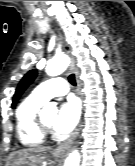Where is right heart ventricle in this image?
<instances>
[{
  "instance_id": "e07e8e85",
  "label": "right heart ventricle",
  "mask_w": 135,
  "mask_h": 166,
  "mask_svg": "<svg viewBox=\"0 0 135 166\" xmlns=\"http://www.w3.org/2000/svg\"><path fill=\"white\" fill-rule=\"evenodd\" d=\"M44 103L45 101L30 94L17 106L16 134L20 144L24 147H39L45 141V136L37 126V116Z\"/></svg>"
}]
</instances>
